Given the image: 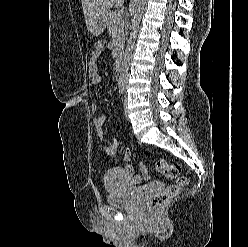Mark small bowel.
<instances>
[{
	"label": "small bowel",
	"instance_id": "1",
	"mask_svg": "<svg viewBox=\"0 0 248 247\" xmlns=\"http://www.w3.org/2000/svg\"><path fill=\"white\" fill-rule=\"evenodd\" d=\"M102 50H103V44L101 42H99V46L94 47V50L92 51V54H91L90 61L88 63V72H89L90 82L93 86H97L101 82V75L99 72L97 60L100 57V55L102 54ZM98 108H99V106H98L97 102L94 101L90 104V110L93 113H96ZM105 121H106V118L104 115L96 116L93 120V124L96 128L97 134L101 138L103 137L102 128H103ZM119 145H120L119 139L113 138L109 144L104 145V151L108 155H114L118 151ZM130 158H131V150L127 148L124 151V159H125L126 163L122 166L117 167V168L123 169L130 176L132 184H137L141 181L142 178L139 175H134V168L129 163Z\"/></svg>",
	"mask_w": 248,
	"mask_h": 247
}]
</instances>
